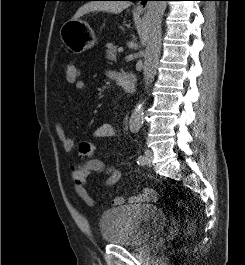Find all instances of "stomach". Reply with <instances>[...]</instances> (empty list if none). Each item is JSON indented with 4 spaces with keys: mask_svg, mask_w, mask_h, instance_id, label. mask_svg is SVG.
<instances>
[{
    "mask_svg": "<svg viewBox=\"0 0 245 265\" xmlns=\"http://www.w3.org/2000/svg\"><path fill=\"white\" fill-rule=\"evenodd\" d=\"M60 37L64 45L75 54L92 48L97 41L88 23L80 19L66 21L61 26Z\"/></svg>",
    "mask_w": 245,
    "mask_h": 265,
    "instance_id": "stomach-1",
    "label": "stomach"
}]
</instances>
